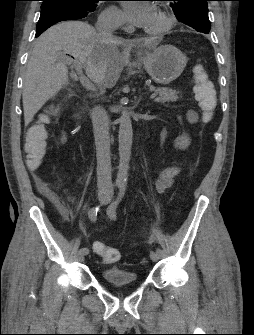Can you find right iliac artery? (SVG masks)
Wrapping results in <instances>:
<instances>
[{
	"label": "right iliac artery",
	"instance_id": "82829eb1",
	"mask_svg": "<svg viewBox=\"0 0 254 335\" xmlns=\"http://www.w3.org/2000/svg\"><path fill=\"white\" fill-rule=\"evenodd\" d=\"M99 211V206L92 207L89 212L88 216L92 222H95L97 220V214ZM82 252H84L86 255L89 253V249L86 247H83L80 249Z\"/></svg>",
	"mask_w": 254,
	"mask_h": 335
}]
</instances>
